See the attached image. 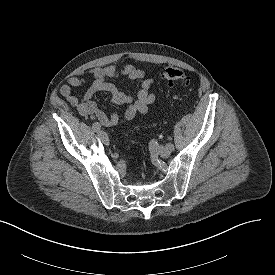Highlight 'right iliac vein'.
Here are the masks:
<instances>
[{
  "label": "right iliac vein",
  "instance_id": "obj_1",
  "mask_svg": "<svg viewBox=\"0 0 275 275\" xmlns=\"http://www.w3.org/2000/svg\"><path fill=\"white\" fill-rule=\"evenodd\" d=\"M98 137L100 138V140L105 144V145H109V138L107 136V134L104 131H99L98 132Z\"/></svg>",
  "mask_w": 275,
  "mask_h": 275
}]
</instances>
